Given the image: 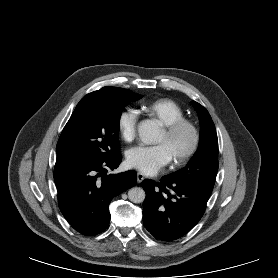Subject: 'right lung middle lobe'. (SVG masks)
Here are the masks:
<instances>
[{
  "label": "right lung middle lobe",
  "instance_id": "right-lung-middle-lobe-1",
  "mask_svg": "<svg viewBox=\"0 0 278 278\" xmlns=\"http://www.w3.org/2000/svg\"><path fill=\"white\" fill-rule=\"evenodd\" d=\"M142 96L92 92L77 104L57 143L55 166L108 159L120 153L119 126L123 108Z\"/></svg>",
  "mask_w": 278,
  "mask_h": 278
}]
</instances>
